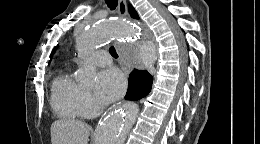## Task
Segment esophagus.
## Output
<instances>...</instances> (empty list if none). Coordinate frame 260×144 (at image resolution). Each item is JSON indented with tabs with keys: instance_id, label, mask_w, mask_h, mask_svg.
<instances>
[{
	"instance_id": "obj_1",
	"label": "esophagus",
	"mask_w": 260,
	"mask_h": 144,
	"mask_svg": "<svg viewBox=\"0 0 260 144\" xmlns=\"http://www.w3.org/2000/svg\"><path fill=\"white\" fill-rule=\"evenodd\" d=\"M118 13L120 17H126L128 15L126 0H118ZM122 69L127 74L130 70V66L122 62Z\"/></svg>"
}]
</instances>
